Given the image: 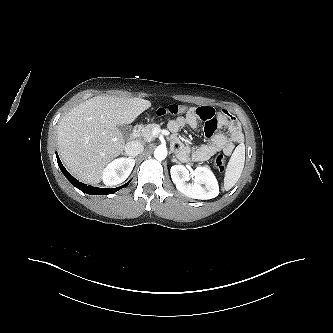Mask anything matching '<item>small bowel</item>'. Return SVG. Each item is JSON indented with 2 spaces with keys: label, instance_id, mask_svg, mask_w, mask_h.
<instances>
[{
  "label": "small bowel",
  "instance_id": "1",
  "mask_svg": "<svg viewBox=\"0 0 333 333\" xmlns=\"http://www.w3.org/2000/svg\"><path fill=\"white\" fill-rule=\"evenodd\" d=\"M200 120L205 122L204 134L209 142L197 148H190L184 146L181 139L176 137L173 145L182 158L192 157L203 162L220 151L231 155L235 146L243 142L244 136L236 118L226 110L217 112L210 106L191 107L185 116L170 120L168 128L171 132L177 133L185 125L197 128ZM219 128H224L226 132H217Z\"/></svg>",
  "mask_w": 333,
  "mask_h": 333
}]
</instances>
